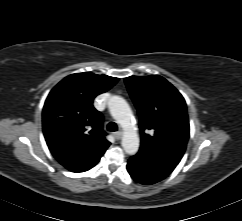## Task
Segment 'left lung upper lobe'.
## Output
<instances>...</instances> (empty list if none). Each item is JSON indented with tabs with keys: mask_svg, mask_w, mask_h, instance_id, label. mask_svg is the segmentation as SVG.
Instances as JSON below:
<instances>
[{
	"mask_svg": "<svg viewBox=\"0 0 242 221\" xmlns=\"http://www.w3.org/2000/svg\"><path fill=\"white\" fill-rule=\"evenodd\" d=\"M125 83L138 110L140 149L178 164L189 139V120L183 96L159 75L130 76L125 78Z\"/></svg>",
	"mask_w": 242,
	"mask_h": 221,
	"instance_id": "left-lung-upper-lobe-1",
	"label": "left lung upper lobe"
}]
</instances>
